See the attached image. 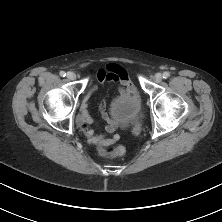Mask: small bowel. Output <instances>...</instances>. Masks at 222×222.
Here are the masks:
<instances>
[{
  "label": "small bowel",
  "instance_id": "c3829d8e",
  "mask_svg": "<svg viewBox=\"0 0 222 222\" xmlns=\"http://www.w3.org/2000/svg\"><path fill=\"white\" fill-rule=\"evenodd\" d=\"M92 76L95 77L98 82H117L122 87L120 89V96L118 98L125 99L129 95H136L137 90L134 84L130 81L128 74L125 70L117 66H109L107 69H98L92 72ZM100 109L102 112V116L106 121L105 131L111 134V137H104L96 134L92 129H90V125L95 124V121L89 114V104L88 98H85L82 103V114H81V122L83 124L84 130L86 131L89 142L91 144L98 145H107L113 142H116L119 139V136L116 134L118 129V124L115 120L109 117L107 111V104L103 101L100 105Z\"/></svg>",
  "mask_w": 222,
  "mask_h": 222
}]
</instances>
